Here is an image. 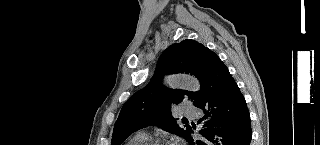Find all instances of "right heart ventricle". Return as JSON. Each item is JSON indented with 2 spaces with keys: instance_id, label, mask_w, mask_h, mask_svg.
<instances>
[{
  "instance_id": "obj_1",
  "label": "right heart ventricle",
  "mask_w": 320,
  "mask_h": 145,
  "mask_svg": "<svg viewBox=\"0 0 320 145\" xmlns=\"http://www.w3.org/2000/svg\"><path fill=\"white\" fill-rule=\"evenodd\" d=\"M147 136L143 133H137L134 134L132 137H130L125 145H143L147 140Z\"/></svg>"
}]
</instances>
